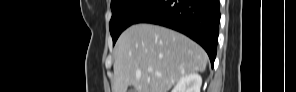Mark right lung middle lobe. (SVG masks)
Segmentation results:
<instances>
[{
    "instance_id": "obj_1",
    "label": "right lung middle lobe",
    "mask_w": 296,
    "mask_h": 92,
    "mask_svg": "<svg viewBox=\"0 0 296 92\" xmlns=\"http://www.w3.org/2000/svg\"><path fill=\"white\" fill-rule=\"evenodd\" d=\"M157 0H111L110 33L115 44L117 38L146 12Z\"/></svg>"
}]
</instances>
